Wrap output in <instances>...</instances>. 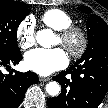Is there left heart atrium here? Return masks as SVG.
<instances>
[{"mask_svg":"<svg viewBox=\"0 0 108 108\" xmlns=\"http://www.w3.org/2000/svg\"><path fill=\"white\" fill-rule=\"evenodd\" d=\"M24 61L28 69L45 76L64 68L68 59L61 48H37L26 53Z\"/></svg>","mask_w":108,"mask_h":108,"instance_id":"1","label":"left heart atrium"}]
</instances>
